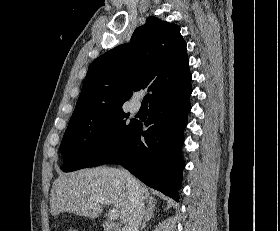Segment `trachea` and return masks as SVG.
<instances>
[{"mask_svg":"<svg viewBox=\"0 0 280 231\" xmlns=\"http://www.w3.org/2000/svg\"><path fill=\"white\" fill-rule=\"evenodd\" d=\"M149 99H150V95L149 94L145 95L143 98V101H142V106L147 105L149 102Z\"/></svg>","mask_w":280,"mask_h":231,"instance_id":"3493384b","label":"trachea"}]
</instances>
